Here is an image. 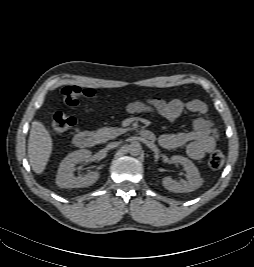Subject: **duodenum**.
I'll return each mask as SVG.
<instances>
[{
    "instance_id": "duodenum-1",
    "label": "duodenum",
    "mask_w": 254,
    "mask_h": 267,
    "mask_svg": "<svg viewBox=\"0 0 254 267\" xmlns=\"http://www.w3.org/2000/svg\"><path fill=\"white\" fill-rule=\"evenodd\" d=\"M142 138L153 141L155 135L146 129L140 131ZM97 136L91 131H80L74 136V143L80 148H91L97 144Z\"/></svg>"
}]
</instances>
